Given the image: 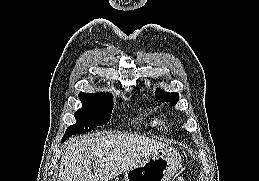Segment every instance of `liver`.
I'll return each instance as SVG.
<instances>
[{"label":"liver","instance_id":"6515ba94","mask_svg":"<svg viewBox=\"0 0 259 181\" xmlns=\"http://www.w3.org/2000/svg\"><path fill=\"white\" fill-rule=\"evenodd\" d=\"M165 149L137 134L74 137L62 154L58 181H109Z\"/></svg>","mask_w":259,"mask_h":181}]
</instances>
